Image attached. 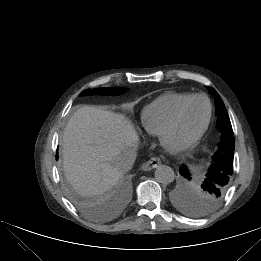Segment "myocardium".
Masks as SVG:
<instances>
[{
	"instance_id": "myocardium-1",
	"label": "myocardium",
	"mask_w": 261,
	"mask_h": 261,
	"mask_svg": "<svg viewBox=\"0 0 261 261\" xmlns=\"http://www.w3.org/2000/svg\"><path fill=\"white\" fill-rule=\"evenodd\" d=\"M198 98L204 99L207 104V115H206V119H205L203 125L197 131V133L194 136H192L190 139H188L184 142H181V143H171L169 140V137H170L171 133L173 132V130L175 129V127L177 126L183 109L192 100L198 99ZM211 118H212V104H211L209 98L203 94H193V95L189 96L175 109L170 120L168 121V123L162 130L161 134L159 135V142H160L161 146L173 153H183V152L191 150L198 144V142L201 140V138L206 133V131L210 125Z\"/></svg>"
}]
</instances>
